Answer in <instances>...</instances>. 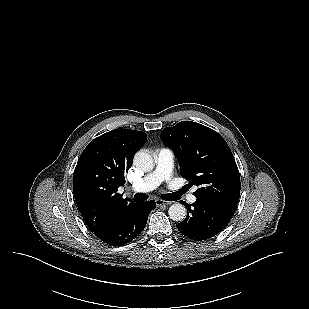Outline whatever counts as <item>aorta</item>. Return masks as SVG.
I'll use <instances>...</instances> for the list:
<instances>
[{
  "label": "aorta",
  "instance_id": "obj_1",
  "mask_svg": "<svg viewBox=\"0 0 309 309\" xmlns=\"http://www.w3.org/2000/svg\"><path fill=\"white\" fill-rule=\"evenodd\" d=\"M134 164L144 172H150L155 166L153 157L145 150H140L135 154ZM186 213L185 206L180 203L171 205L168 210L169 217L173 221H183Z\"/></svg>",
  "mask_w": 309,
  "mask_h": 309
}]
</instances>
